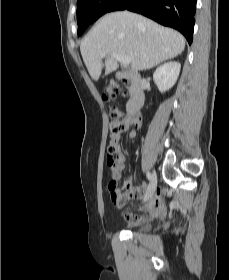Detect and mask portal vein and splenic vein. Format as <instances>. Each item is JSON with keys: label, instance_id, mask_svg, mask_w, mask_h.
I'll list each match as a JSON object with an SVG mask.
<instances>
[{"label": "portal vein and splenic vein", "instance_id": "obj_1", "mask_svg": "<svg viewBox=\"0 0 229 280\" xmlns=\"http://www.w3.org/2000/svg\"><path fill=\"white\" fill-rule=\"evenodd\" d=\"M106 53H102L101 57H105ZM112 56L114 59H116L117 61H119L120 63H122L124 66H128L131 62V58L128 56H124L121 54H117V53H112Z\"/></svg>", "mask_w": 229, "mask_h": 280}]
</instances>
